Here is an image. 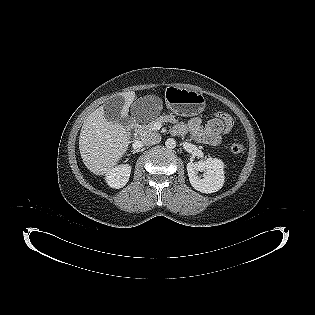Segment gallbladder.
<instances>
[{
    "label": "gallbladder",
    "instance_id": "gallbladder-1",
    "mask_svg": "<svg viewBox=\"0 0 315 315\" xmlns=\"http://www.w3.org/2000/svg\"><path fill=\"white\" fill-rule=\"evenodd\" d=\"M123 106H124V100L121 97H116L107 101L103 105L104 117L108 121H112V122L123 121V118H122Z\"/></svg>",
    "mask_w": 315,
    "mask_h": 315
}]
</instances>
